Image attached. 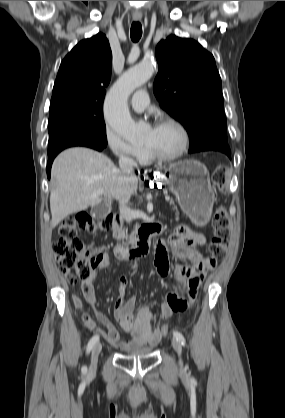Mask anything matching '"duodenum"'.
<instances>
[{
    "mask_svg": "<svg viewBox=\"0 0 285 418\" xmlns=\"http://www.w3.org/2000/svg\"><path fill=\"white\" fill-rule=\"evenodd\" d=\"M113 237L117 240L121 238L122 234V219L121 216L116 213L114 215ZM158 228L156 225H150L146 229V233L139 237V241L134 246H127L123 244H117L114 247V255L120 260H131L137 257H142L148 254L150 243L149 237L156 233Z\"/></svg>",
    "mask_w": 285,
    "mask_h": 418,
    "instance_id": "1",
    "label": "duodenum"
}]
</instances>
